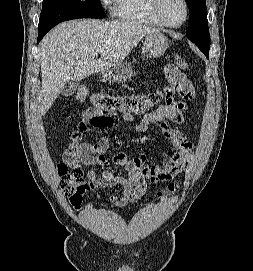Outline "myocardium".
<instances>
[{
    "instance_id": "1",
    "label": "myocardium",
    "mask_w": 253,
    "mask_h": 271,
    "mask_svg": "<svg viewBox=\"0 0 253 271\" xmlns=\"http://www.w3.org/2000/svg\"><path fill=\"white\" fill-rule=\"evenodd\" d=\"M149 1H150V9H151L152 14L165 27L178 28V27L182 26L186 22V20H187V18L189 16V5H188L187 0H182V3L184 5L185 13H184L183 19L177 24L169 23L164 18V16L161 13V10H160V0H149Z\"/></svg>"
}]
</instances>
